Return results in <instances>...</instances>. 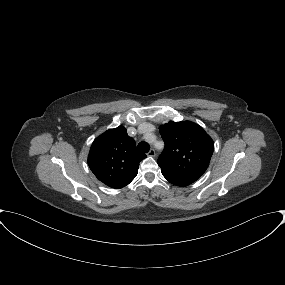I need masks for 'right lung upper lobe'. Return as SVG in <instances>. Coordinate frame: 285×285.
Returning a JSON list of instances; mask_svg holds the SVG:
<instances>
[{
    "mask_svg": "<svg viewBox=\"0 0 285 285\" xmlns=\"http://www.w3.org/2000/svg\"><path fill=\"white\" fill-rule=\"evenodd\" d=\"M146 155L136 149L134 139L123 126L98 136L90 148L88 165L98 180L111 188L128 185L137 175Z\"/></svg>",
    "mask_w": 285,
    "mask_h": 285,
    "instance_id": "right-lung-upper-lobe-1",
    "label": "right lung upper lobe"
}]
</instances>
